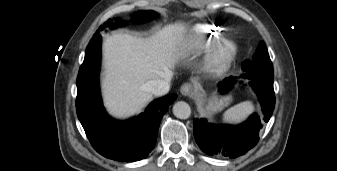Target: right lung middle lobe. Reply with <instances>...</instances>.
Returning <instances> with one entry per match:
<instances>
[{
    "label": "right lung middle lobe",
    "instance_id": "dd1d6c3e",
    "mask_svg": "<svg viewBox=\"0 0 337 171\" xmlns=\"http://www.w3.org/2000/svg\"><path fill=\"white\" fill-rule=\"evenodd\" d=\"M156 15H157V13L154 12V11H152V10H149V11H138V12H135L133 14V16L136 17L139 21H148V20H151L154 17H156ZM122 24H124V22H122V21H118V22H116V24H114L112 22V20L109 19L107 22L104 23V26L106 27L108 25V26H111V28H115L117 25L120 26ZM101 30H103V26H101L94 35L99 34V32Z\"/></svg>",
    "mask_w": 337,
    "mask_h": 171
}]
</instances>
